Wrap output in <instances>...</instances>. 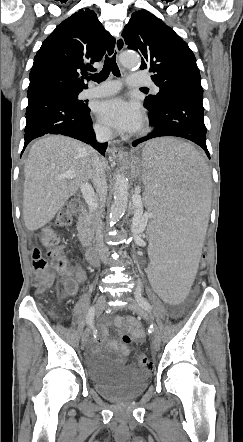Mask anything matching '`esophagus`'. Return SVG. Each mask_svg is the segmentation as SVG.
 I'll return each mask as SVG.
<instances>
[{
  "instance_id": "esophagus-1",
  "label": "esophagus",
  "mask_w": 243,
  "mask_h": 442,
  "mask_svg": "<svg viewBox=\"0 0 243 442\" xmlns=\"http://www.w3.org/2000/svg\"><path fill=\"white\" fill-rule=\"evenodd\" d=\"M125 47V41L122 36H118L116 39L115 49L116 52L119 54L123 51ZM110 156L113 159L122 161L127 157V153L123 151L122 148L118 147L117 145L113 144L110 148Z\"/></svg>"
}]
</instances>
